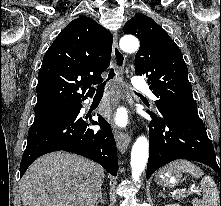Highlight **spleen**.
<instances>
[{
	"label": "spleen",
	"mask_w": 221,
	"mask_h": 206,
	"mask_svg": "<svg viewBox=\"0 0 221 206\" xmlns=\"http://www.w3.org/2000/svg\"><path fill=\"white\" fill-rule=\"evenodd\" d=\"M171 166L189 173L194 178H199L204 175L202 169L187 160L174 161ZM200 185L203 191V197L201 199H193V206H218L219 190L215 181L210 176H204Z\"/></svg>",
	"instance_id": "3e777b00"
}]
</instances>
